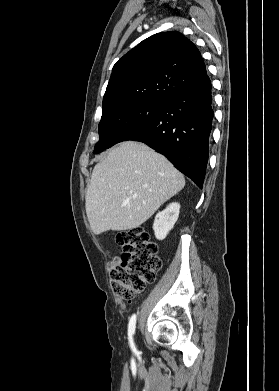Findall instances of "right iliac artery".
Listing matches in <instances>:
<instances>
[{"label":"right iliac artery","instance_id":"82829eb1","mask_svg":"<svg viewBox=\"0 0 279 391\" xmlns=\"http://www.w3.org/2000/svg\"><path fill=\"white\" fill-rule=\"evenodd\" d=\"M135 327H136V315L133 314L130 318L129 325H128V339H129V344L133 350H135V345L133 341Z\"/></svg>","mask_w":279,"mask_h":391}]
</instances>
